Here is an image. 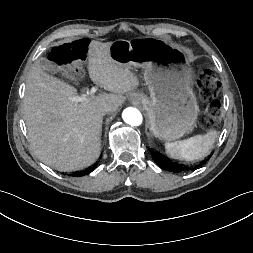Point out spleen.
Listing matches in <instances>:
<instances>
[{
  "mask_svg": "<svg viewBox=\"0 0 253 253\" xmlns=\"http://www.w3.org/2000/svg\"><path fill=\"white\" fill-rule=\"evenodd\" d=\"M218 133L210 130L205 135H196L179 142L165 143L166 154L174 159L196 161L206 157Z\"/></svg>",
  "mask_w": 253,
  "mask_h": 253,
  "instance_id": "3e777b00",
  "label": "spleen"
}]
</instances>
